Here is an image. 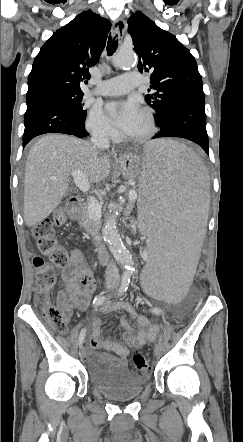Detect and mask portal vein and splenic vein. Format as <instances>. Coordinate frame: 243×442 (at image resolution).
<instances>
[{"mask_svg": "<svg viewBox=\"0 0 243 442\" xmlns=\"http://www.w3.org/2000/svg\"><path fill=\"white\" fill-rule=\"evenodd\" d=\"M71 176L74 179L76 186L83 192H86L90 188V183L86 179L85 174L80 170H73L71 172ZM55 179V178H52ZM129 198L131 200H135L137 198V192L135 190L129 191ZM88 213L89 216L93 219H99L101 217V205L95 201L94 198L89 199L88 204Z\"/></svg>", "mask_w": 243, "mask_h": 442, "instance_id": "portal-vein-and-splenic-vein-1", "label": "portal vein and splenic vein"}]
</instances>
